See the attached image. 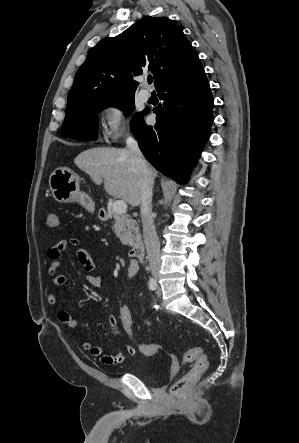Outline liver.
Wrapping results in <instances>:
<instances>
[{
    "label": "liver",
    "mask_w": 299,
    "mask_h": 443,
    "mask_svg": "<svg viewBox=\"0 0 299 443\" xmlns=\"http://www.w3.org/2000/svg\"><path fill=\"white\" fill-rule=\"evenodd\" d=\"M74 163L94 181H103L104 188L110 196L120 198L132 206L141 203L139 173L130 150L90 148L81 152L74 159ZM147 165L154 179L157 171Z\"/></svg>",
    "instance_id": "1"
}]
</instances>
